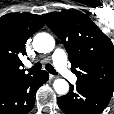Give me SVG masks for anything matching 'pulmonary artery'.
I'll list each match as a JSON object with an SVG mask.
<instances>
[{
  "instance_id": "obj_1",
  "label": "pulmonary artery",
  "mask_w": 114,
  "mask_h": 114,
  "mask_svg": "<svg viewBox=\"0 0 114 114\" xmlns=\"http://www.w3.org/2000/svg\"><path fill=\"white\" fill-rule=\"evenodd\" d=\"M53 63L56 69L69 81L75 82L76 76L69 70L67 56L62 49H56L52 55Z\"/></svg>"
}]
</instances>
